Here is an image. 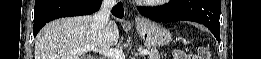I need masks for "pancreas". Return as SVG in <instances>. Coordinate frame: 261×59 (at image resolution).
I'll return each instance as SVG.
<instances>
[{
    "label": "pancreas",
    "mask_w": 261,
    "mask_h": 59,
    "mask_svg": "<svg viewBox=\"0 0 261 59\" xmlns=\"http://www.w3.org/2000/svg\"><path fill=\"white\" fill-rule=\"evenodd\" d=\"M144 47L149 51L148 59H161L162 56L159 54L156 48L148 45H145Z\"/></svg>",
    "instance_id": "pancreas-1"
}]
</instances>
